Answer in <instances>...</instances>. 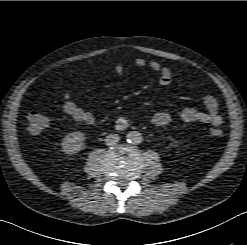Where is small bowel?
<instances>
[{
    "label": "small bowel",
    "instance_id": "obj_1",
    "mask_svg": "<svg viewBox=\"0 0 247 245\" xmlns=\"http://www.w3.org/2000/svg\"><path fill=\"white\" fill-rule=\"evenodd\" d=\"M136 66L142 69L149 68L150 70L159 74V83L163 86L170 85L172 82V71L168 67H163L158 61H146L143 58H137L135 60ZM116 74L121 77L123 75V66L118 63L115 66ZM73 93L66 92L64 94V102L62 105L63 111L69 115L72 119L78 122H82L91 125L95 121L94 115L80 106H78L73 100ZM203 104L205 111L198 110L196 108L188 107L181 111V119L184 122H201L206 124H212L214 127H218L222 124L223 119L219 114V105L216 98L212 95H206L203 98ZM171 122V116L167 112H157L152 117V123L157 127L167 126Z\"/></svg>",
    "mask_w": 247,
    "mask_h": 245
}]
</instances>
